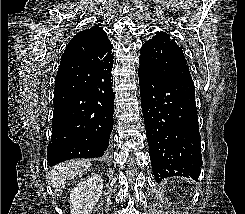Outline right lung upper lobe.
<instances>
[{
	"instance_id": "obj_1",
	"label": "right lung upper lobe",
	"mask_w": 245,
	"mask_h": 214,
	"mask_svg": "<svg viewBox=\"0 0 245 214\" xmlns=\"http://www.w3.org/2000/svg\"><path fill=\"white\" fill-rule=\"evenodd\" d=\"M112 48L105 31L98 26L77 33L62 55L55 85L84 88L97 67L113 62Z\"/></svg>"
}]
</instances>
